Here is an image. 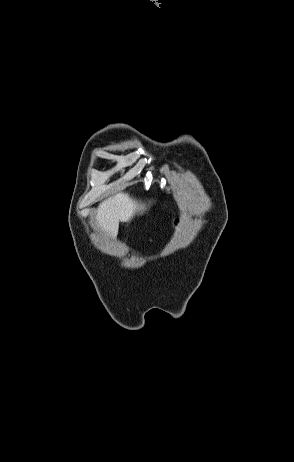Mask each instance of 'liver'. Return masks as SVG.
Returning <instances> with one entry per match:
<instances>
[{"label":"liver","instance_id":"1","mask_svg":"<svg viewBox=\"0 0 294 462\" xmlns=\"http://www.w3.org/2000/svg\"><path fill=\"white\" fill-rule=\"evenodd\" d=\"M146 210L145 204L119 193L100 203L95 217L96 225L114 238L118 234L119 222H130L136 213Z\"/></svg>","mask_w":294,"mask_h":462}]
</instances>
